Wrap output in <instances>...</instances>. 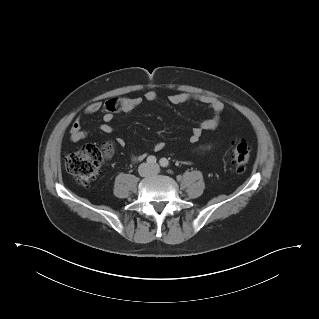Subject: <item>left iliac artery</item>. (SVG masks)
Here are the masks:
<instances>
[{"instance_id":"44dca946","label":"left iliac artery","mask_w":319,"mask_h":319,"mask_svg":"<svg viewBox=\"0 0 319 319\" xmlns=\"http://www.w3.org/2000/svg\"><path fill=\"white\" fill-rule=\"evenodd\" d=\"M159 163L162 167H167L169 165V162L166 158L160 159Z\"/></svg>"}]
</instances>
